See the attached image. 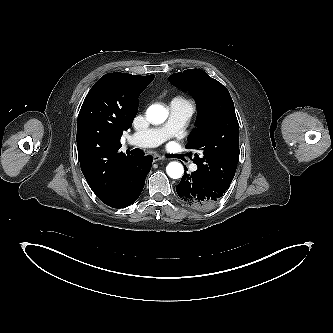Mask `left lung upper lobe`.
<instances>
[{
    "label": "left lung upper lobe",
    "mask_w": 333,
    "mask_h": 333,
    "mask_svg": "<svg viewBox=\"0 0 333 333\" xmlns=\"http://www.w3.org/2000/svg\"><path fill=\"white\" fill-rule=\"evenodd\" d=\"M168 79L188 90L198 102L197 128L186 144V148L201 153V157L194 154L197 170L228 189L239 161V124L228 90L198 69L175 73Z\"/></svg>",
    "instance_id": "left-lung-upper-lobe-1"
}]
</instances>
